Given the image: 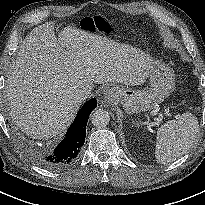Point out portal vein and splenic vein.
I'll use <instances>...</instances> for the list:
<instances>
[{
	"instance_id": "18ae733b",
	"label": "portal vein and splenic vein",
	"mask_w": 205,
	"mask_h": 205,
	"mask_svg": "<svg viewBox=\"0 0 205 205\" xmlns=\"http://www.w3.org/2000/svg\"><path fill=\"white\" fill-rule=\"evenodd\" d=\"M166 115H167V116H172L170 113H167V112H166Z\"/></svg>"
}]
</instances>
